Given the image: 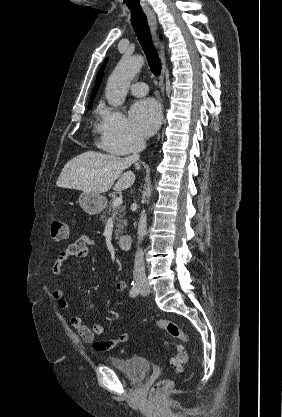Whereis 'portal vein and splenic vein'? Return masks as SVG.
<instances>
[{
	"instance_id": "1",
	"label": "portal vein and splenic vein",
	"mask_w": 282,
	"mask_h": 417,
	"mask_svg": "<svg viewBox=\"0 0 282 417\" xmlns=\"http://www.w3.org/2000/svg\"><path fill=\"white\" fill-rule=\"evenodd\" d=\"M123 198L122 196H117V198H114L113 200V206H119V204H122Z\"/></svg>"
}]
</instances>
